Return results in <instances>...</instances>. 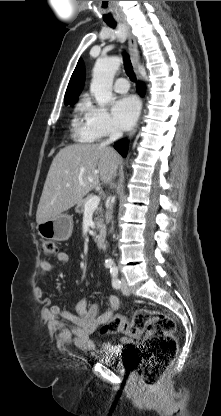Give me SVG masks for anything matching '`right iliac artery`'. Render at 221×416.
<instances>
[{
	"instance_id": "82829eb1",
	"label": "right iliac artery",
	"mask_w": 221,
	"mask_h": 416,
	"mask_svg": "<svg viewBox=\"0 0 221 416\" xmlns=\"http://www.w3.org/2000/svg\"><path fill=\"white\" fill-rule=\"evenodd\" d=\"M105 266H106V268H111L112 264L111 263H106Z\"/></svg>"
}]
</instances>
